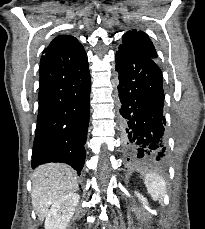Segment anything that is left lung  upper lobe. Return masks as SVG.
Masks as SVG:
<instances>
[{"label": "left lung upper lobe", "mask_w": 205, "mask_h": 229, "mask_svg": "<svg viewBox=\"0 0 205 229\" xmlns=\"http://www.w3.org/2000/svg\"><path fill=\"white\" fill-rule=\"evenodd\" d=\"M121 45L130 47L154 60L157 58V53L152 41L148 35L142 31H137L136 29L128 31L123 35Z\"/></svg>", "instance_id": "obj_1"}]
</instances>
